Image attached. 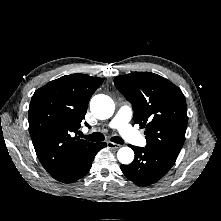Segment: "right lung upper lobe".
Returning a JSON list of instances; mask_svg holds the SVG:
<instances>
[{"instance_id": "cb5924a9", "label": "right lung upper lobe", "mask_w": 221, "mask_h": 221, "mask_svg": "<svg viewBox=\"0 0 221 221\" xmlns=\"http://www.w3.org/2000/svg\"><path fill=\"white\" fill-rule=\"evenodd\" d=\"M103 79L71 74L38 89L28 113L37 157L48 173L79 158L94 143L74 137L85 118L92 94Z\"/></svg>"}]
</instances>
